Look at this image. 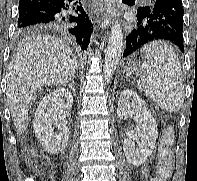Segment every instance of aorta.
I'll return each instance as SVG.
<instances>
[{"label": "aorta", "mask_w": 197, "mask_h": 181, "mask_svg": "<svg viewBox=\"0 0 197 181\" xmlns=\"http://www.w3.org/2000/svg\"><path fill=\"white\" fill-rule=\"evenodd\" d=\"M122 46V27L118 23V21H116L111 29V34L109 36L107 51L105 54V60L103 65V74L105 82L110 81L117 68L119 59L122 55Z\"/></svg>", "instance_id": "aorta-1"}]
</instances>
